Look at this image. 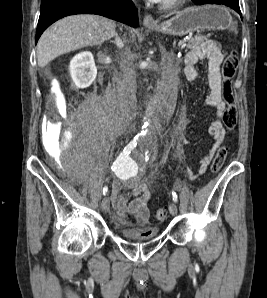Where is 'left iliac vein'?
I'll return each instance as SVG.
<instances>
[{
    "instance_id": "4c4485c4",
    "label": "left iliac vein",
    "mask_w": 267,
    "mask_h": 298,
    "mask_svg": "<svg viewBox=\"0 0 267 298\" xmlns=\"http://www.w3.org/2000/svg\"><path fill=\"white\" fill-rule=\"evenodd\" d=\"M169 212L171 213V215H176L177 214V212H178V209H177V206H176V204L175 203H170V205H169Z\"/></svg>"
}]
</instances>
